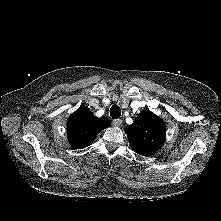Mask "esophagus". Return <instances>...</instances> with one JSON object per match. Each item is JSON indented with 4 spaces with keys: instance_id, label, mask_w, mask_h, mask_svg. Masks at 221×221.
Returning a JSON list of instances; mask_svg holds the SVG:
<instances>
[{
    "instance_id": "esophagus-1",
    "label": "esophagus",
    "mask_w": 221,
    "mask_h": 221,
    "mask_svg": "<svg viewBox=\"0 0 221 221\" xmlns=\"http://www.w3.org/2000/svg\"><path fill=\"white\" fill-rule=\"evenodd\" d=\"M112 123H113L114 126L119 127L122 124V120L121 119H114L112 121Z\"/></svg>"
}]
</instances>
